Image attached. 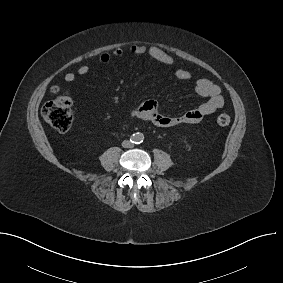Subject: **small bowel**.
<instances>
[{"label": "small bowel", "instance_id": "1", "mask_svg": "<svg viewBox=\"0 0 283 283\" xmlns=\"http://www.w3.org/2000/svg\"><path fill=\"white\" fill-rule=\"evenodd\" d=\"M129 50L132 54L148 55L152 59L166 65H172L174 63V58L171 55L156 46L134 44ZM123 54V49L116 48L112 52L102 53L99 56V62L101 64H108L114 58H119L123 56ZM89 71V66L82 65L77 69V73L69 72L65 75L64 79L67 83H72L75 81L77 75L84 76L87 75ZM175 77L178 80L187 81L191 79L192 75L191 72L186 69H178L175 72ZM194 90L199 96L206 98V101L198 107L185 112L181 116L173 117L162 114L159 111L158 104L155 100H146L142 102L131 111V114L133 117L152 123L158 127H173L181 124L199 123L204 117L215 113L224 106V98L221 89L211 80L205 78L196 80L194 83Z\"/></svg>", "mask_w": 283, "mask_h": 283}]
</instances>
